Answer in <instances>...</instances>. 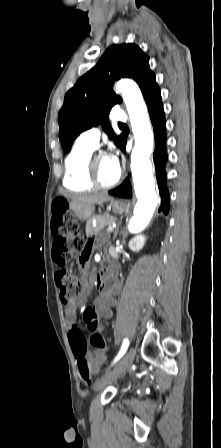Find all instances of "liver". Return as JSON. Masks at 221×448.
<instances>
[{
	"instance_id": "liver-1",
	"label": "liver",
	"mask_w": 221,
	"mask_h": 448,
	"mask_svg": "<svg viewBox=\"0 0 221 448\" xmlns=\"http://www.w3.org/2000/svg\"><path fill=\"white\" fill-rule=\"evenodd\" d=\"M71 199L73 208H86L93 207L94 205H102L104 202L111 200L112 198L107 193H95L88 195H65Z\"/></svg>"
}]
</instances>
